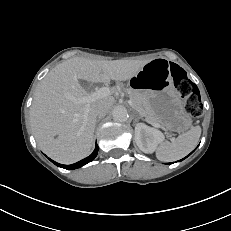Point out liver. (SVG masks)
Wrapping results in <instances>:
<instances>
[{
  "label": "liver",
  "instance_id": "1",
  "mask_svg": "<svg viewBox=\"0 0 231 231\" xmlns=\"http://www.w3.org/2000/svg\"><path fill=\"white\" fill-rule=\"evenodd\" d=\"M149 61H99L75 57L50 70L40 82L30 109L32 130L39 148L63 164L85 158L93 145L95 108L99 103L110 108L114 98L106 96L89 104L75 103L69 96H86L79 80L95 83L126 81Z\"/></svg>",
  "mask_w": 231,
  "mask_h": 231
}]
</instances>
